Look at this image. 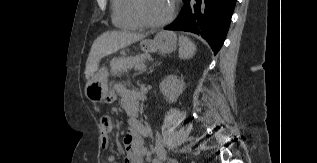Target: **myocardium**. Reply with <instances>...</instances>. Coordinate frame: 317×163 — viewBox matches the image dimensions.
<instances>
[{"label":"myocardium","mask_w":317,"mask_h":163,"mask_svg":"<svg viewBox=\"0 0 317 163\" xmlns=\"http://www.w3.org/2000/svg\"><path fill=\"white\" fill-rule=\"evenodd\" d=\"M143 2H144V0H133V9H134V13H135L137 19L145 27H149V28L164 27L167 24H169L176 15L178 0H173L171 11L165 19H163L161 21H157V22L151 21L145 15L144 8H143Z\"/></svg>","instance_id":"obj_1"}]
</instances>
